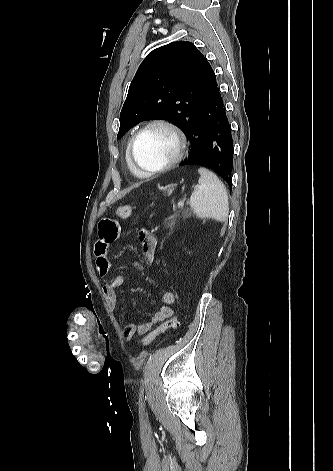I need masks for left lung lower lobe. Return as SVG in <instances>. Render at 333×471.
I'll list each match as a JSON object with an SVG mask.
<instances>
[{
    "mask_svg": "<svg viewBox=\"0 0 333 471\" xmlns=\"http://www.w3.org/2000/svg\"><path fill=\"white\" fill-rule=\"evenodd\" d=\"M187 139L191 143L190 155L180 163V166L195 164L212 168L231 187L233 142L216 77Z\"/></svg>",
    "mask_w": 333,
    "mask_h": 471,
    "instance_id": "0a47b994",
    "label": "left lung lower lobe"
}]
</instances>
